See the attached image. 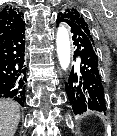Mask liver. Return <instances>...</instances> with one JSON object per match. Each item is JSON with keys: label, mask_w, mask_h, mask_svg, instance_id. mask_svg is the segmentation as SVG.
Returning a JSON list of instances; mask_svg holds the SVG:
<instances>
[{"label": "liver", "mask_w": 117, "mask_h": 136, "mask_svg": "<svg viewBox=\"0 0 117 136\" xmlns=\"http://www.w3.org/2000/svg\"><path fill=\"white\" fill-rule=\"evenodd\" d=\"M19 121V104L10 99L0 98V136H14Z\"/></svg>", "instance_id": "liver-1"}]
</instances>
